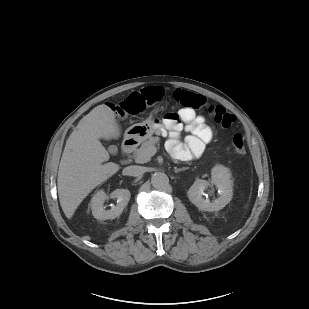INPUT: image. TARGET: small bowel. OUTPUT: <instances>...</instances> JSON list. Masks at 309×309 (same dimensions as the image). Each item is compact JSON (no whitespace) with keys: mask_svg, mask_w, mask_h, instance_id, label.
Instances as JSON below:
<instances>
[{"mask_svg":"<svg viewBox=\"0 0 309 309\" xmlns=\"http://www.w3.org/2000/svg\"><path fill=\"white\" fill-rule=\"evenodd\" d=\"M163 125L169 131L170 138L167 142L169 151L172 155L182 159L190 156H199L213 136V131L205 123L204 118L196 115L189 108H183L176 113L167 114ZM183 128L190 133L184 143L179 140V133Z\"/></svg>","mask_w":309,"mask_h":309,"instance_id":"small-bowel-1","label":"small bowel"}]
</instances>
